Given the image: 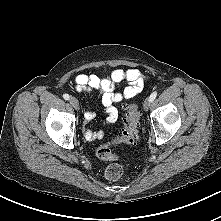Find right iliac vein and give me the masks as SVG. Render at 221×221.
Wrapping results in <instances>:
<instances>
[{
	"mask_svg": "<svg viewBox=\"0 0 221 221\" xmlns=\"http://www.w3.org/2000/svg\"><path fill=\"white\" fill-rule=\"evenodd\" d=\"M70 104L78 111L80 109V105L78 100L75 97H71L69 99Z\"/></svg>",
	"mask_w": 221,
	"mask_h": 221,
	"instance_id": "right-iliac-vein-1",
	"label": "right iliac vein"
}]
</instances>
